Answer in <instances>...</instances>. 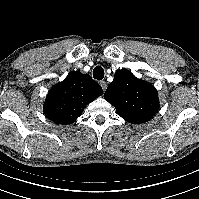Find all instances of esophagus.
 <instances>
[{
    "mask_svg": "<svg viewBox=\"0 0 199 199\" xmlns=\"http://www.w3.org/2000/svg\"><path fill=\"white\" fill-rule=\"evenodd\" d=\"M99 83H100L103 91H105L107 89V83L104 80L100 81Z\"/></svg>",
    "mask_w": 199,
    "mask_h": 199,
    "instance_id": "34e87169",
    "label": "esophagus"
}]
</instances>
